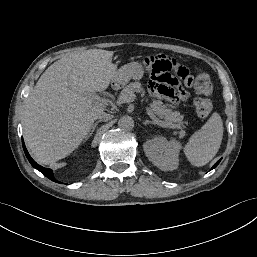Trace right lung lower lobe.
I'll return each mask as SVG.
<instances>
[{
	"label": "right lung lower lobe",
	"instance_id": "1",
	"mask_svg": "<svg viewBox=\"0 0 257 257\" xmlns=\"http://www.w3.org/2000/svg\"><path fill=\"white\" fill-rule=\"evenodd\" d=\"M22 144H23V149H24V152H25V155L27 157V159L29 160V162L31 163V165L36 168L37 170H39L44 176H46L47 178H49L50 180L54 181V182H57L59 183L53 176V172L51 169H47V168H44L40 165H38L32 158L31 156L29 155L26 147H25V144L22 140Z\"/></svg>",
	"mask_w": 257,
	"mask_h": 257
}]
</instances>
